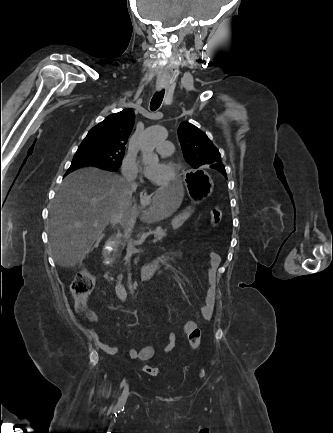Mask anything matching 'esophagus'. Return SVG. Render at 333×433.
Segmentation results:
<instances>
[{
  "instance_id": "esophagus-1",
  "label": "esophagus",
  "mask_w": 333,
  "mask_h": 433,
  "mask_svg": "<svg viewBox=\"0 0 333 433\" xmlns=\"http://www.w3.org/2000/svg\"><path fill=\"white\" fill-rule=\"evenodd\" d=\"M160 90L161 89H158V91H160ZM140 200L141 201H147V200H149L146 190H142L140 192Z\"/></svg>"
}]
</instances>
